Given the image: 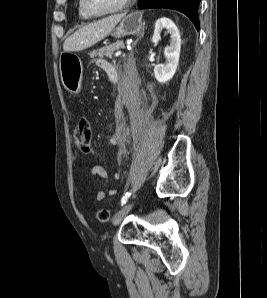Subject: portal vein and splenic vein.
I'll return each instance as SVG.
<instances>
[{"mask_svg": "<svg viewBox=\"0 0 267 298\" xmlns=\"http://www.w3.org/2000/svg\"><path fill=\"white\" fill-rule=\"evenodd\" d=\"M121 54H122L121 51H117V52L115 53V56L118 57V56H120Z\"/></svg>", "mask_w": 267, "mask_h": 298, "instance_id": "18ae733b", "label": "portal vein and splenic vein"}]
</instances>
